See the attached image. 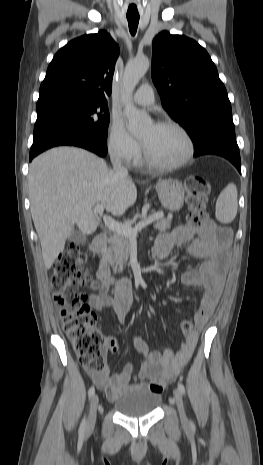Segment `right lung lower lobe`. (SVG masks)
Masks as SVG:
<instances>
[{
	"instance_id": "right-lung-lower-lobe-1",
	"label": "right lung lower lobe",
	"mask_w": 263,
	"mask_h": 465,
	"mask_svg": "<svg viewBox=\"0 0 263 465\" xmlns=\"http://www.w3.org/2000/svg\"><path fill=\"white\" fill-rule=\"evenodd\" d=\"M60 145L77 146L104 157L107 154V146L90 136L75 131H55L34 138L30 150V161L41 152Z\"/></svg>"
}]
</instances>
